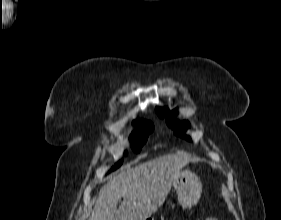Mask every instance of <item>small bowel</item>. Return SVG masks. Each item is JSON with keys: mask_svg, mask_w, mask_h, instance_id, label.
Returning <instances> with one entry per match:
<instances>
[{"mask_svg": "<svg viewBox=\"0 0 281 220\" xmlns=\"http://www.w3.org/2000/svg\"><path fill=\"white\" fill-rule=\"evenodd\" d=\"M205 220H218V219H216V218H214V217H208V218H206Z\"/></svg>", "mask_w": 281, "mask_h": 220, "instance_id": "obj_1", "label": "small bowel"}]
</instances>
